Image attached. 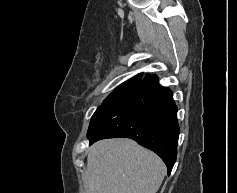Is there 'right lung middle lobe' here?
Here are the masks:
<instances>
[{
  "label": "right lung middle lobe",
  "instance_id": "obj_1",
  "mask_svg": "<svg viewBox=\"0 0 237 193\" xmlns=\"http://www.w3.org/2000/svg\"><path fill=\"white\" fill-rule=\"evenodd\" d=\"M141 74H138L134 79L130 81H126L120 86H118L103 102V104L98 107V109L95 111L94 115L104 111L121 101H123L125 98H127L133 90H135L137 87L141 85Z\"/></svg>",
  "mask_w": 237,
  "mask_h": 193
}]
</instances>
